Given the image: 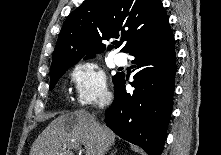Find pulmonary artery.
Masks as SVG:
<instances>
[{
	"label": "pulmonary artery",
	"instance_id": "pulmonary-artery-1",
	"mask_svg": "<svg viewBox=\"0 0 221 155\" xmlns=\"http://www.w3.org/2000/svg\"><path fill=\"white\" fill-rule=\"evenodd\" d=\"M114 61L118 66H125L127 64L126 56L122 53H118L114 57Z\"/></svg>",
	"mask_w": 221,
	"mask_h": 155
}]
</instances>
